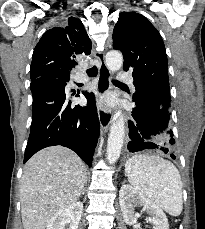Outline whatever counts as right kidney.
<instances>
[{
	"label": "right kidney",
	"mask_w": 205,
	"mask_h": 229,
	"mask_svg": "<svg viewBox=\"0 0 205 229\" xmlns=\"http://www.w3.org/2000/svg\"><path fill=\"white\" fill-rule=\"evenodd\" d=\"M83 211V203L75 202L58 210L48 222L46 229H65V225L70 223L69 229H77L81 214Z\"/></svg>",
	"instance_id": "ca27d5eb"
}]
</instances>
